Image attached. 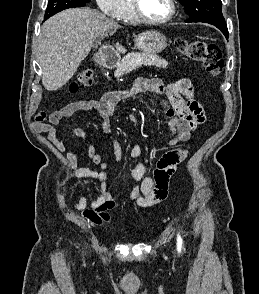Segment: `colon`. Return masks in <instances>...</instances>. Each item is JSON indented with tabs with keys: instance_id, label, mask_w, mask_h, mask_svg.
<instances>
[{
	"instance_id": "1",
	"label": "colon",
	"mask_w": 259,
	"mask_h": 294,
	"mask_svg": "<svg viewBox=\"0 0 259 294\" xmlns=\"http://www.w3.org/2000/svg\"><path fill=\"white\" fill-rule=\"evenodd\" d=\"M176 46L183 56L202 63L211 76L216 77L222 72L224 62L221 49L216 44L178 39ZM93 80L94 75L90 69L82 70L78 73L76 82L71 85L70 91L74 93L79 87H88L92 85Z\"/></svg>"
}]
</instances>
